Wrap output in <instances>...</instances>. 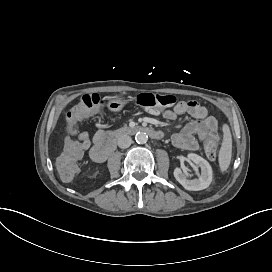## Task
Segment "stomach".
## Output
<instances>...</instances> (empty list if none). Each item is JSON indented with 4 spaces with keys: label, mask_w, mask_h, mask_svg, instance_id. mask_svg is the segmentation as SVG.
<instances>
[{
    "label": "stomach",
    "mask_w": 272,
    "mask_h": 272,
    "mask_svg": "<svg viewBox=\"0 0 272 272\" xmlns=\"http://www.w3.org/2000/svg\"><path fill=\"white\" fill-rule=\"evenodd\" d=\"M129 101V99H122V98H114L111 99L108 103H107V107L110 111L113 112H118L120 111L124 105Z\"/></svg>",
    "instance_id": "stomach-1"
}]
</instances>
